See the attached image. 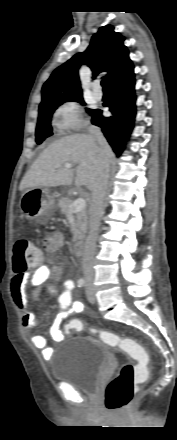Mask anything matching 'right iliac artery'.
Segmentation results:
<instances>
[{
    "instance_id": "obj_1",
    "label": "right iliac artery",
    "mask_w": 177,
    "mask_h": 440,
    "mask_svg": "<svg viewBox=\"0 0 177 440\" xmlns=\"http://www.w3.org/2000/svg\"><path fill=\"white\" fill-rule=\"evenodd\" d=\"M85 284V280L83 278H80L77 282L78 287H82Z\"/></svg>"
}]
</instances>
